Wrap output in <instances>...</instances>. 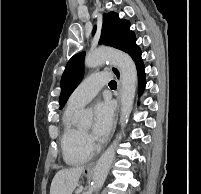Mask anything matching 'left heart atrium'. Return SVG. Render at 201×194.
<instances>
[{
	"label": "left heart atrium",
	"mask_w": 201,
	"mask_h": 194,
	"mask_svg": "<svg viewBox=\"0 0 201 194\" xmlns=\"http://www.w3.org/2000/svg\"><path fill=\"white\" fill-rule=\"evenodd\" d=\"M114 107L108 100L99 101L94 106L93 134L97 138L105 137L113 124Z\"/></svg>",
	"instance_id": "left-heart-atrium-1"
}]
</instances>
